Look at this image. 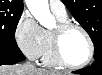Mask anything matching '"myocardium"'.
I'll return each instance as SVG.
<instances>
[{
  "instance_id": "myocardium-1",
  "label": "myocardium",
  "mask_w": 102,
  "mask_h": 75,
  "mask_svg": "<svg viewBox=\"0 0 102 75\" xmlns=\"http://www.w3.org/2000/svg\"><path fill=\"white\" fill-rule=\"evenodd\" d=\"M72 29L80 30L86 37L89 46V52L86 60L81 64L77 65L68 61L63 55L62 51V38ZM50 37H51L52 56L53 59L57 62V64L64 67L78 68L86 65L88 62L92 60L94 55V44L87 30L80 24L69 20L58 22L57 25L54 27V29L51 31Z\"/></svg>"
}]
</instances>
